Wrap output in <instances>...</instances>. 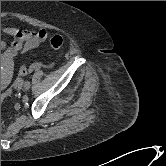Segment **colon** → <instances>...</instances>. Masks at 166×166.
Segmentation results:
<instances>
[{
    "mask_svg": "<svg viewBox=\"0 0 166 166\" xmlns=\"http://www.w3.org/2000/svg\"><path fill=\"white\" fill-rule=\"evenodd\" d=\"M49 43H50V46L55 49V50H58L60 49L62 46H63V38L62 36L60 35H53L50 37L49 39ZM27 73V68L25 66H22L20 68V75L23 76ZM22 85V79L21 78H18L14 84L12 85L11 89L7 90V91H4V92H1V101L4 100L5 98L11 96L12 92L14 90H17L21 87Z\"/></svg>",
    "mask_w": 166,
    "mask_h": 166,
    "instance_id": "obj_1",
    "label": "colon"
}]
</instances>
